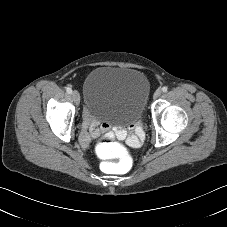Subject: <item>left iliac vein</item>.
<instances>
[{"instance_id": "4c4485c4", "label": "left iliac vein", "mask_w": 227, "mask_h": 227, "mask_svg": "<svg viewBox=\"0 0 227 227\" xmlns=\"http://www.w3.org/2000/svg\"><path fill=\"white\" fill-rule=\"evenodd\" d=\"M162 94V90L161 89H157L154 93V98L157 99L161 96Z\"/></svg>"}]
</instances>
